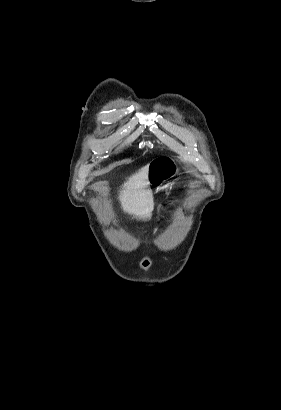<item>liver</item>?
<instances>
[{"label": "liver", "mask_w": 281, "mask_h": 410, "mask_svg": "<svg viewBox=\"0 0 281 410\" xmlns=\"http://www.w3.org/2000/svg\"><path fill=\"white\" fill-rule=\"evenodd\" d=\"M148 186V165H146L122 185L119 200L124 212L138 219H150L153 200L151 193L146 189Z\"/></svg>", "instance_id": "1"}]
</instances>
